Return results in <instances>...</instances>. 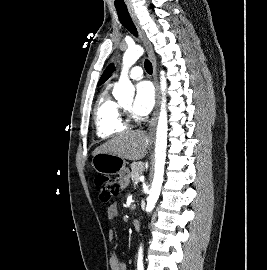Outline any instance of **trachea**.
Listing matches in <instances>:
<instances>
[{"label":"trachea","instance_id":"3493384b","mask_svg":"<svg viewBox=\"0 0 267 270\" xmlns=\"http://www.w3.org/2000/svg\"><path fill=\"white\" fill-rule=\"evenodd\" d=\"M116 10H117V14H118V18L121 22V24L128 30L130 31L134 36H137V29L128 13V10L126 7H117L116 6ZM145 70L147 71V73L152 74L153 72V68H152V64L149 60H145Z\"/></svg>","mask_w":267,"mask_h":270}]
</instances>
